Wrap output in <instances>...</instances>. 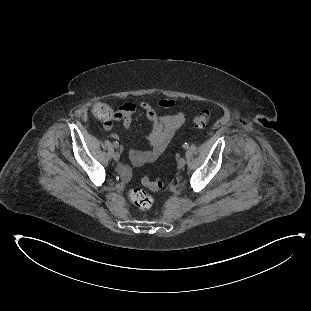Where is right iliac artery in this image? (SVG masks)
Here are the masks:
<instances>
[{"mask_svg": "<svg viewBox=\"0 0 311 311\" xmlns=\"http://www.w3.org/2000/svg\"><path fill=\"white\" fill-rule=\"evenodd\" d=\"M113 146H114L115 148H118V147H119V143H118L117 141H115V142H113Z\"/></svg>", "mask_w": 311, "mask_h": 311, "instance_id": "82829eb1", "label": "right iliac artery"}]
</instances>
